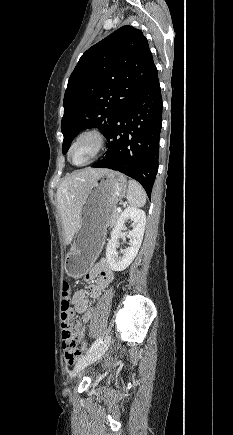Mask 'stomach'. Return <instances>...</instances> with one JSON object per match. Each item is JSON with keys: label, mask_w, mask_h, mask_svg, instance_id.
<instances>
[{"label": "stomach", "mask_w": 233, "mask_h": 435, "mask_svg": "<svg viewBox=\"0 0 233 435\" xmlns=\"http://www.w3.org/2000/svg\"><path fill=\"white\" fill-rule=\"evenodd\" d=\"M126 191V177L112 170L99 176L92 184L82 206L80 226L65 257V269L69 276L81 278L91 268L100 252L111 216Z\"/></svg>", "instance_id": "obj_1"}]
</instances>
